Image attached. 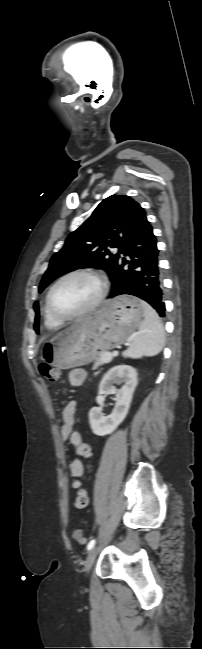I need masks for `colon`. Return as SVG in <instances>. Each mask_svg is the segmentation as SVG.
<instances>
[{
    "instance_id": "colon-1",
    "label": "colon",
    "mask_w": 202,
    "mask_h": 649,
    "mask_svg": "<svg viewBox=\"0 0 202 649\" xmlns=\"http://www.w3.org/2000/svg\"><path fill=\"white\" fill-rule=\"evenodd\" d=\"M39 371L41 375L48 381L55 382L58 381L60 373L59 370L48 365V364H40L39 366ZM73 538L74 540L80 544L84 545L85 544V538L83 536V532L81 529H76L73 532Z\"/></svg>"
}]
</instances>
